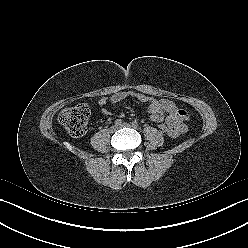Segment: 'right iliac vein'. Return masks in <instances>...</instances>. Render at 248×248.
Here are the masks:
<instances>
[{"mask_svg": "<svg viewBox=\"0 0 248 248\" xmlns=\"http://www.w3.org/2000/svg\"><path fill=\"white\" fill-rule=\"evenodd\" d=\"M118 129V126L117 125H114L110 128V132L111 133H114L116 130Z\"/></svg>", "mask_w": 248, "mask_h": 248, "instance_id": "63e3f726", "label": "right iliac vein"}]
</instances>
